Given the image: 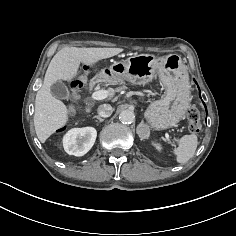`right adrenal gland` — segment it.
I'll return each instance as SVG.
<instances>
[{
  "label": "right adrenal gland",
  "instance_id": "2a0ac1e0",
  "mask_svg": "<svg viewBox=\"0 0 236 236\" xmlns=\"http://www.w3.org/2000/svg\"><path fill=\"white\" fill-rule=\"evenodd\" d=\"M93 118L99 120V122H103L105 120L101 118L100 116H94Z\"/></svg>",
  "mask_w": 236,
  "mask_h": 236
}]
</instances>
